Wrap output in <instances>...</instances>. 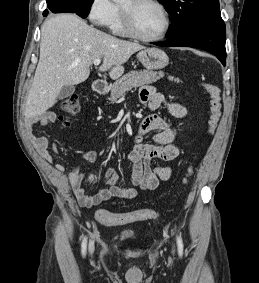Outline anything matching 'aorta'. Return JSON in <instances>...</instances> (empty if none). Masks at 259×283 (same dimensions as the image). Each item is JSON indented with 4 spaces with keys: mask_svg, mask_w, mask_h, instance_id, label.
<instances>
[{
    "mask_svg": "<svg viewBox=\"0 0 259 283\" xmlns=\"http://www.w3.org/2000/svg\"><path fill=\"white\" fill-rule=\"evenodd\" d=\"M114 2H120V1H122V0H113Z\"/></svg>",
    "mask_w": 259,
    "mask_h": 283,
    "instance_id": "1",
    "label": "aorta"
}]
</instances>
